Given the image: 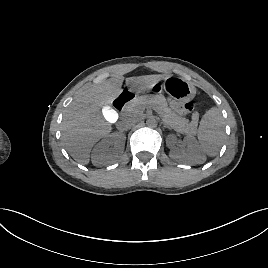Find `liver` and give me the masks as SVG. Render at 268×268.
I'll use <instances>...</instances> for the list:
<instances>
[{
  "instance_id": "6515ba94",
  "label": "liver",
  "mask_w": 268,
  "mask_h": 268,
  "mask_svg": "<svg viewBox=\"0 0 268 268\" xmlns=\"http://www.w3.org/2000/svg\"><path fill=\"white\" fill-rule=\"evenodd\" d=\"M163 75H144L126 78V86L148 88L152 84L165 79ZM124 77L115 75L110 79L80 90L68 106L62 122L63 142L74 160L88 164L93 145L108 135L111 130L110 119L104 118L101 108L111 105L122 92Z\"/></svg>"
}]
</instances>
